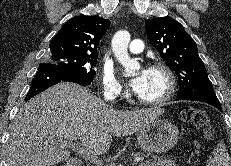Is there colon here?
Wrapping results in <instances>:
<instances>
[{"label":"colon","mask_w":231,"mask_h":166,"mask_svg":"<svg viewBox=\"0 0 231 166\" xmlns=\"http://www.w3.org/2000/svg\"><path fill=\"white\" fill-rule=\"evenodd\" d=\"M179 115L182 120L203 128L207 136L212 135L213 128L210 123L209 115L205 110L193 106H183L179 110Z\"/></svg>","instance_id":"5ec220e1"}]
</instances>
